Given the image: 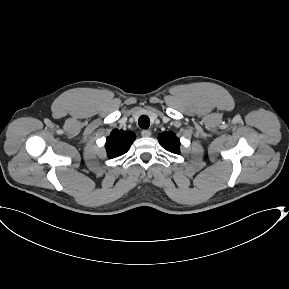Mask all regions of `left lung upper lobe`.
<instances>
[{
  "label": "left lung upper lobe",
  "mask_w": 289,
  "mask_h": 289,
  "mask_svg": "<svg viewBox=\"0 0 289 289\" xmlns=\"http://www.w3.org/2000/svg\"><path fill=\"white\" fill-rule=\"evenodd\" d=\"M159 142L167 151L179 154L180 141L173 132H164L159 137Z\"/></svg>",
  "instance_id": "1"
}]
</instances>
